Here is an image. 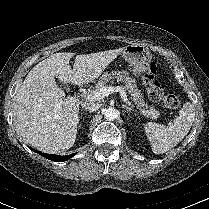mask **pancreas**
Wrapping results in <instances>:
<instances>
[{
  "label": "pancreas",
  "mask_w": 209,
  "mask_h": 209,
  "mask_svg": "<svg viewBox=\"0 0 209 209\" xmlns=\"http://www.w3.org/2000/svg\"><path fill=\"white\" fill-rule=\"evenodd\" d=\"M112 79H116L117 81L124 83L128 89V92L131 94V98L134 101L137 108H139L143 114H147L152 118H157L159 116V111L155 108L150 107L148 111L152 112V114H148L145 112L148 105L145 103L144 98L140 90L137 88L136 81L134 78L129 77V73L127 71H112L110 73L106 72L100 78V80L95 84L93 90H89L87 95L93 94L94 92L100 90L102 87H106L107 83L112 81Z\"/></svg>",
  "instance_id": "1"
}]
</instances>
